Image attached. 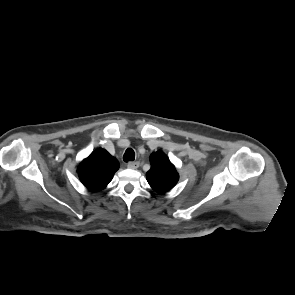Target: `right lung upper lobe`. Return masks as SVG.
<instances>
[{"label": "right lung upper lobe", "instance_id": "cb5924a9", "mask_svg": "<svg viewBox=\"0 0 295 295\" xmlns=\"http://www.w3.org/2000/svg\"><path fill=\"white\" fill-rule=\"evenodd\" d=\"M118 169L117 159L99 148L79 164L77 173L85 187L97 192L106 188Z\"/></svg>", "mask_w": 295, "mask_h": 295}]
</instances>
